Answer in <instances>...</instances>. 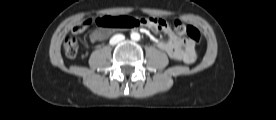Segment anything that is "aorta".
<instances>
[{
    "instance_id": "762f6f07",
    "label": "aorta",
    "mask_w": 276,
    "mask_h": 120,
    "mask_svg": "<svg viewBox=\"0 0 276 120\" xmlns=\"http://www.w3.org/2000/svg\"><path fill=\"white\" fill-rule=\"evenodd\" d=\"M131 39L134 41H139L140 40V34L137 32H132L131 33Z\"/></svg>"
}]
</instances>
